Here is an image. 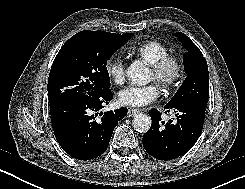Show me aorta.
<instances>
[{
  "instance_id": "aorta-1",
  "label": "aorta",
  "mask_w": 245,
  "mask_h": 189,
  "mask_svg": "<svg viewBox=\"0 0 245 189\" xmlns=\"http://www.w3.org/2000/svg\"><path fill=\"white\" fill-rule=\"evenodd\" d=\"M128 80L136 85H146L149 83L148 69L140 62H133L126 70ZM151 120L146 114L139 113L133 118V127L136 131L144 133L150 129Z\"/></svg>"
}]
</instances>
